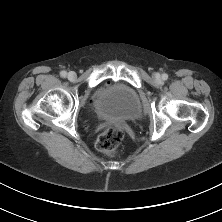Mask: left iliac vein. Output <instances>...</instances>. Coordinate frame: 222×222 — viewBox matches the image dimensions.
Instances as JSON below:
<instances>
[{"mask_svg":"<svg viewBox=\"0 0 222 222\" xmlns=\"http://www.w3.org/2000/svg\"><path fill=\"white\" fill-rule=\"evenodd\" d=\"M155 80L156 81H161V76H160V74H155Z\"/></svg>","mask_w":222,"mask_h":222,"instance_id":"left-iliac-vein-1","label":"left iliac vein"}]
</instances>
